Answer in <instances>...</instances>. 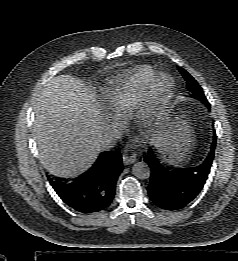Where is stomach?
I'll use <instances>...</instances> for the list:
<instances>
[{
	"label": "stomach",
	"instance_id": "0dacf381",
	"mask_svg": "<svg viewBox=\"0 0 238 261\" xmlns=\"http://www.w3.org/2000/svg\"><path fill=\"white\" fill-rule=\"evenodd\" d=\"M152 142L162 159L176 166L186 157L191 144V130L185 116L168 109L151 130Z\"/></svg>",
	"mask_w": 238,
	"mask_h": 261
}]
</instances>
